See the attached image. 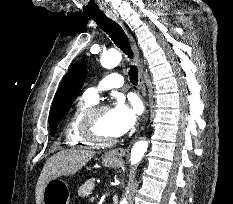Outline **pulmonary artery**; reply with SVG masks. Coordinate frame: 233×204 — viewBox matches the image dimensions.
Masks as SVG:
<instances>
[{
  "instance_id": "obj_1",
  "label": "pulmonary artery",
  "mask_w": 233,
  "mask_h": 204,
  "mask_svg": "<svg viewBox=\"0 0 233 204\" xmlns=\"http://www.w3.org/2000/svg\"><path fill=\"white\" fill-rule=\"evenodd\" d=\"M124 84V79L121 75L112 73L104 77V79L100 82L97 87L88 88L85 93L84 97L96 102L99 98V93L102 90H108L112 88H120Z\"/></svg>"
}]
</instances>
